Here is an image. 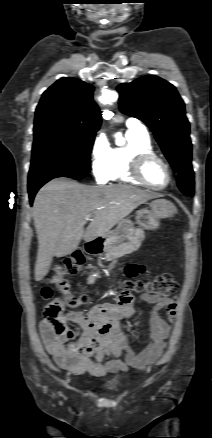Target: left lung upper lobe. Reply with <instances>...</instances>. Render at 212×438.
<instances>
[{
    "mask_svg": "<svg viewBox=\"0 0 212 438\" xmlns=\"http://www.w3.org/2000/svg\"><path fill=\"white\" fill-rule=\"evenodd\" d=\"M120 111L145 122L154 132L175 172L191 162L190 125L176 88L154 75L117 87Z\"/></svg>",
    "mask_w": 212,
    "mask_h": 438,
    "instance_id": "left-lung-upper-lobe-1",
    "label": "left lung upper lobe"
}]
</instances>
